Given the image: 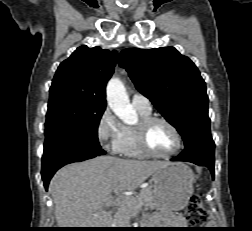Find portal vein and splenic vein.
<instances>
[{"label":"portal vein and splenic vein","instance_id":"obj_1","mask_svg":"<svg viewBox=\"0 0 252 231\" xmlns=\"http://www.w3.org/2000/svg\"><path fill=\"white\" fill-rule=\"evenodd\" d=\"M129 201H130V198H129V197L125 198V199L122 200V201H118V200L113 201V198H112V197H108V198L106 199V201H105V206H106V207H109V206H111L112 204L123 206L124 204L128 203Z\"/></svg>","mask_w":252,"mask_h":231}]
</instances>
